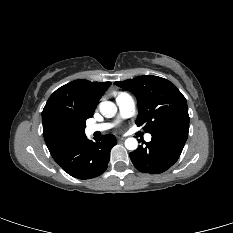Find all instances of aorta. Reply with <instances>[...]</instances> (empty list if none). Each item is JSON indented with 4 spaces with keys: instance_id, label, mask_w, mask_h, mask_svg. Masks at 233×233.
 Wrapping results in <instances>:
<instances>
[{
    "instance_id": "1",
    "label": "aorta",
    "mask_w": 233,
    "mask_h": 233,
    "mask_svg": "<svg viewBox=\"0 0 233 233\" xmlns=\"http://www.w3.org/2000/svg\"><path fill=\"white\" fill-rule=\"evenodd\" d=\"M99 108H100L101 114L106 118H112L113 116H115L117 112L116 105L111 101L101 102ZM125 147L128 150H132V151L136 150L138 147V141L133 137L127 138L125 140Z\"/></svg>"
}]
</instances>
